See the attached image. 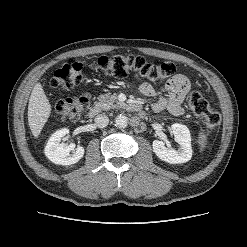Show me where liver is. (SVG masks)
I'll use <instances>...</instances> for the list:
<instances>
[{
	"label": "liver",
	"mask_w": 247,
	"mask_h": 247,
	"mask_svg": "<svg viewBox=\"0 0 247 247\" xmlns=\"http://www.w3.org/2000/svg\"><path fill=\"white\" fill-rule=\"evenodd\" d=\"M51 114V104L40 82L34 86L28 104V124L32 135L38 138Z\"/></svg>",
	"instance_id": "liver-1"
}]
</instances>
